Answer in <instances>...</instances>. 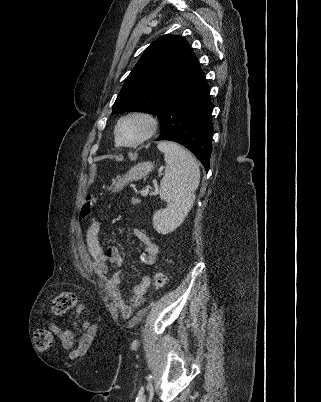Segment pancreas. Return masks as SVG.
<instances>
[{"instance_id":"cf45deb5","label":"pancreas","mask_w":321,"mask_h":402,"mask_svg":"<svg viewBox=\"0 0 321 402\" xmlns=\"http://www.w3.org/2000/svg\"><path fill=\"white\" fill-rule=\"evenodd\" d=\"M138 203H139V200H138V199L132 198V200H131V204H132V205H136V204H138Z\"/></svg>"}]
</instances>
